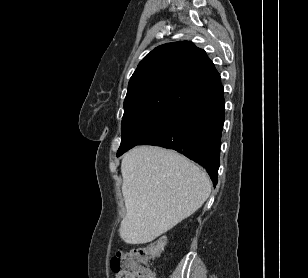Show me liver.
<instances>
[{
  "mask_svg": "<svg viewBox=\"0 0 308 278\" xmlns=\"http://www.w3.org/2000/svg\"><path fill=\"white\" fill-rule=\"evenodd\" d=\"M126 216L119 228L128 244L148 243L197 211L208 199L205 171L174 150L136 146L123 156Z\"/></svg>",
  "mask_w": 308,
  "mask_h": 278,
  "instance_id": "liver-1",
  "label": "liver"
}]
</instances>
